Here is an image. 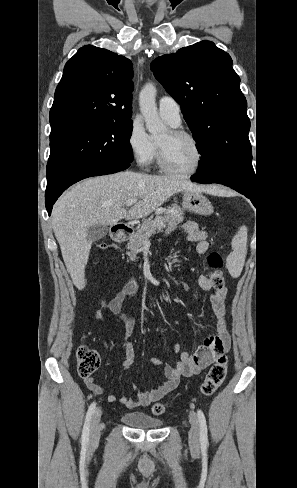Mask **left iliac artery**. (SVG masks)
<instances>
[{
    "label": "left iliac artery",
    "instance_id": "left-iliac-artery-1",
    "mask_svg": "<svg viewBox=\"0 0 297 488\" xmlns=\"http://www.w3.org/2000/svg\"><path fill=\"white\" fill-rule=\"evenodd\" d=\"M197 416L199 419L200 424V445L203 451H206L208 446V437H207V425H206V418L202 410L198 409Z\"/></svg>",
    "mask_w": 297,
    "mask_h": 488
}]
</instances>
